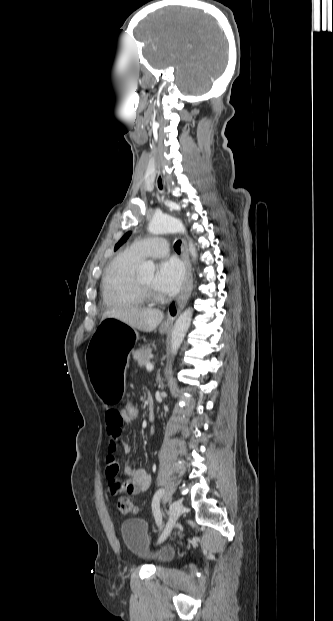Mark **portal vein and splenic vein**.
Here are the masks:
<instances>
[{"label": "portal vein and splenic vein", "mask_w": 333, "mask_h": 621, "mask_svg": "<svg viewBox=\"0 0 333 621\" xmlns=\"http://www.w3.org/2000/svg\"><path fill=\"white\" fill-rule=\"evenodd\" d=\"M153 368H154L153 364H151V363H147L146 364V370L147 371H151V370H153Z\"/></svg>", "instance_id": "1"}]
</instances>
